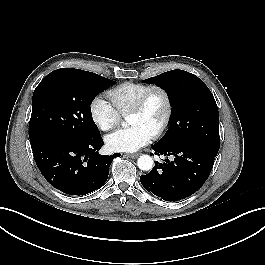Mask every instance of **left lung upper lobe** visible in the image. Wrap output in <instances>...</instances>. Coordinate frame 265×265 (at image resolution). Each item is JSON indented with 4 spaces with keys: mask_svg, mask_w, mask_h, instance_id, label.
Masks as SVG:
<instances>
[{
    "mask_svg": "<svg viewBox=\"0 0 265 265\" xmlns=\"http://www.w3.org/2000/svg\"><path fill=\"white\" fill-rule=\"evenodd\" d=\"M144 82L155 83L163 88L168 93L173 108L169 129L157 145L196 141L219 149L217 104L200 78L183 70H171Z\"/></svg>",
    "mask_w": 265,
    "mask_h": 265,
    "instance_id": "1",
    "label": "left lung upper lobe"
}]
</instances>
